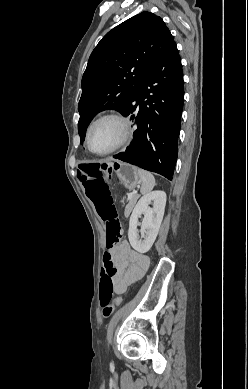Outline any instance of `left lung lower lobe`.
Segmentation results:
<instances>
[{"label": "left lung lower lobe", "mask_w": 248, "mask_h": 389, "mask_svg": "<svg viewBox=\"0 0 248 389\" xmlns=\"http://www.w3.org/2000/svg\"><path fill=\"white\" fill-rule=\"evenodd\" d=\"M183 100L182 65L174 43L151 68L141 88L121 113L135 119L137 128L131 144L114 158L172 180Z\"/></svg>", "instance_id": "left-lung-lower-lobe-1"}]
</instances>
